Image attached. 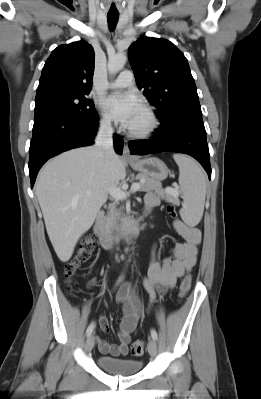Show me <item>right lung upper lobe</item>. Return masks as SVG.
<instances>
[{"label":"right lung upper lobe","mask_w":261,"mask_h":399,"mask_svg":"<svg viewBox=\"0 0 261 399\" xmlns=\"http://www.w3.org/2000/svg\"><path fill=\"white\" fill-rule=\"evenodd\" d=\"M94 60L92 46L83 40L58 46L42 69L36 98L58 94L88 95Z\"/></svg>","instance_id":"obj_1"}]
</instances>
